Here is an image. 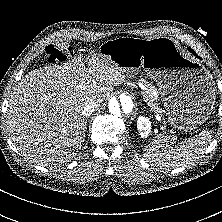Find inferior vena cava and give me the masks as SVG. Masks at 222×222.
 Here are the masks:
<instances>
[{
    "mask_svg": "<svg viewBox=\"0 0 222 222\" xmlns=\"http://www.w3.org/2000/svg\"><path fill=\"white\" fill-rule=\"evenodd\" d=\"M98 108V104L93 101V100H88L85 102L82 110H81V113L83 116H90L94 111H96Z\"/></svg>",
    "mask_w": 222,
    "mask_h": 222,
    "instance_id": "inferior-vena-cava-1",
    "label": "inferior vena cava"
}]
</instances>
